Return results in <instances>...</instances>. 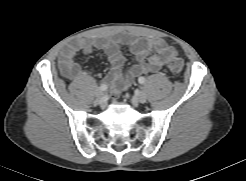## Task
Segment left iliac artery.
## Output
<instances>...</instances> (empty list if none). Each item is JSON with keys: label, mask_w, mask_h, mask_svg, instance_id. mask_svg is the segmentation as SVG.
I'll return each mask as SVG.
<instances>
[{"label": "left iliac artery", "mask_w": 246, "mask_h": 181, "mask_svg": "<svg viewBox=\"0 0 246 181\" xmlns=\"http://www.w3.org/2000/svg\"><path fill=\"white\" fill-rule=\"evenodd\" d=\"M138 82H139L140 84H144V83L146 82V78L143 77V76H141V77L138 78Z\"/></svg>", "instance_id": "44dca946"}]
</instances>
